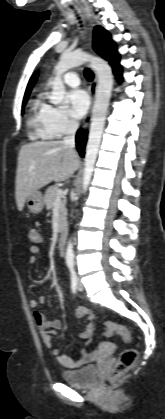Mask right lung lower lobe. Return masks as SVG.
Segmentation results:
<instances>
[{
  "label": "right lung lower lobe",
  "mask_w": 165,
  "mask_h": 419,
  "mask_svg": "<svg viewBox=\"0 0 165 419\" xmlns=\"http://www.w3.org/2000/svg\"><path fill=\"white\" fill-rule=\"evenodd\" d=\"M87 140V132L85 130H78L76 135V146L80 155L84 156V147Z\"/></svg>",
  "instance_id": "98d812e1"
}]
</instances>
